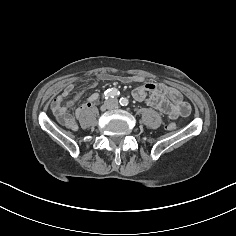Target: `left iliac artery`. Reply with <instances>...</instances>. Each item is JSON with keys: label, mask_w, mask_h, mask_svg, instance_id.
<instances>
[{"label": "left iliac artery", "mask_w": 236, "mask_h": 236, "mask_svg": "<svg viewBox=\"0 0 236 236\" xmlns=\"http://www.w3.org/2000/svg\"><path fill=\"white\" fill-rule=\"evenodd\" d=\"M119 102H120L121 106H127L129 103L128 99H126L124 97H122Z\"/></svg>", "instance_id": "left-iliac-artery-1"}]
</instances>
